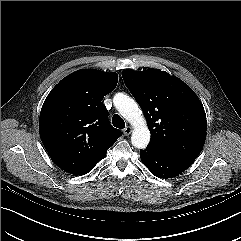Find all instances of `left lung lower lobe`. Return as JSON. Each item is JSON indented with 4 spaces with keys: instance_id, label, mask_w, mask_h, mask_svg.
<instances>
[{
    "instance_id": "obj_1",
    "label": "left lung lower lobe",
    "mask_w": 241,
    "mask_h": 241,
    "mask_svg": "<svg viewBox=\"0 0 241 241\" xmlns=\"http://www.w3.org/2000/svg\"><path fill=\"white\" fill-rule=\"evenodd\" d=\"M140 157L152 174L162 178L176 176L194 162L193 159L172 156L150 146L140 150Z\"/></svg>"
}]
</instances>
